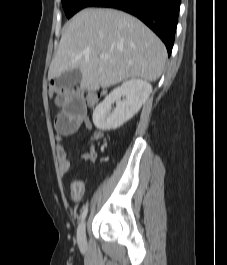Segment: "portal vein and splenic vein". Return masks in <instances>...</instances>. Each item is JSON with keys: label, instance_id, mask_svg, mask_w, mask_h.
Segmentation results:
<instances>
[{"label": "portal vein and splenic vein", "instance_id": "portal-vein-and-splenic-vein-1", "mask_svg": "<svg viewBox=\"0 0 227 265\" xmlns=\"http://www.w3.org/2000/svg\"><path fill=\"white\" fill-rule=\"evenodd\" d=\"M99 57H100V59L105 60V59L108 58V54H106V53H101Z\"/></svg>", "mask_w": 227, "mask_h": 265}]
</instances>
